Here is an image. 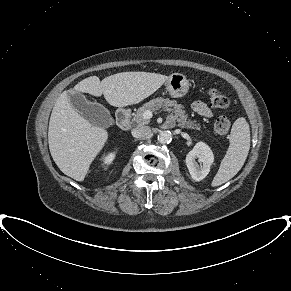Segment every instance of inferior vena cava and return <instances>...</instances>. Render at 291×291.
Segmentation results:
<instances>
[{
	"label": "inferior vena cava",
	"instance_id": "602c4592",
	"mask_svg": "<svg viewBox=\"0 0 291 291\" xmlns=\"http://www.w3.org/2000/svg\"><path fill=\"white\" fill-rule=\"evenodd\" d=\"M135 138H146L151 135V128L149 126L137 127L132 131Z\"/></svg>",
	"mask_w": 291,
	"mask_h": 291
}]
</instances>
